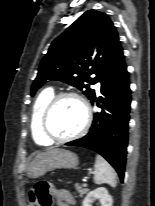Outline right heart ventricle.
<instances>
[{
  "mask_svg": "<svg viewBox=\"0 0 155 206\" xmlns=\"http://www.w3.org/2000/svg\"><path fill=\"white\" fill-rule=\"evenodd\" d=\"M54 96V91L52 88H47L43 90L36 98L31 114V132L34 141L39 145H50L49 141L41 130V115L45 106L48 104L50 99Z\"/></svg>",
  "mask_w": 155,
  "mask_h": 206,
  "instance_id": "obj_1",
  "label": "right heart ventricle"
}]
</instances>
